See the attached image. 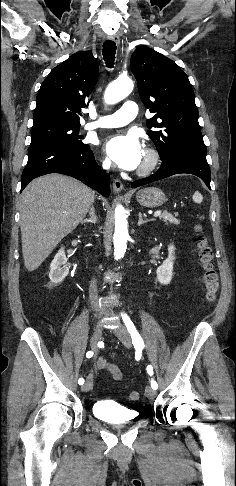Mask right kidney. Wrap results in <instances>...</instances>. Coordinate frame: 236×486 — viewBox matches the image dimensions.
Instances as JSON below:
<instances>
[{"label": "right kidney", "instance_id": "1", "mask_svg": "<svg viewBox=\"0 0 236 486\" xmlns=\"http://www.w3.org/2000/svg\"><path fill=\"white\" fill-rule=\"evenodd\" d=\"M67 258L64 248H61L55 255L53 261L50 264L49 278L52 284L61 283L68 275V268L65 266Z\"/></svg>", "mask_w": 236, "mask_h": 486}]
</instances>
